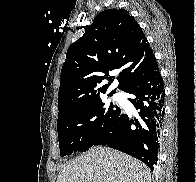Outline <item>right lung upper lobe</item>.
Wrapping results in <instances>:
<instances>
[{
  "instance_id": "obj_1",
  "label": "right lung upper lobe",
  "mask_w": 196,
  "mask_h": 182,
  "mask_svg": "<svg viewBox=\"0 0 196 182\" xmlns=\"http://www.w3.org/2000/svg\"><path fill=\"white\" fill-rule=\"evenodd\" d=\"M154 60L141 27L126 10L99 13L67 50L58 93L59 114L104 94L113 82L109 71L121 69L118 88L126 91Z\"/></svg>"
}]
</instances>
